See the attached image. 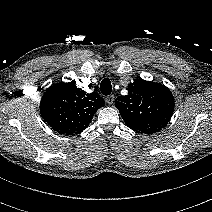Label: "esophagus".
<instances>
[{"label":"esophagus","mask_w":212,"mask_h":212,"mask_svg":"<svg viewBox=\"0 0 212 212\" xmlns=\"http://www.w3.org/2000/svg\"><path fill=\"white\" fill-rule=\"evenodd\" d=\"M105 100L108 105H112L114 103L115 97H114V95H109L106 97Z\"/></svg>","instance_id":"34e87169"}]
</instances>
